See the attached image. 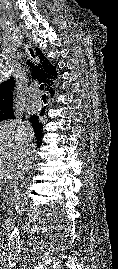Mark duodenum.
Instances as JSON below:
<instances>
[{
  "label": "duodenum",
  "instance_id": "410a0bca",
  "mask_svg": "<svg viewBox=\"0 0 118 269\" xmlns=\"http://www.w3.org/2000/svg\"><path fill=\"white\" fill-rule=\"evenodd\" d=\"M2 228L4 232H9L12 228V219L11 218H5L2 222Z\"/></svg>",
  "mask_w": 118,
  "mask_h": 269
}]
</instances>
